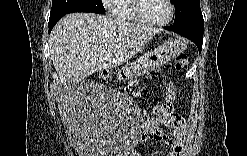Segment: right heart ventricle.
<instances>
[{"instance_id":"1","label":"right heart ventricle","mask_w":247,"mask_h":156,"mask_svg":"<svg viewBox=\"0 0 247 156\" xmlns=\"http://www.w3.org/2000/svg\"><path fill=\"white\" fill-rule=\"evenodd\" d=\"M133 3L132 0L117 1L112 8L113 15L121 21L139 22L133 11Z\"/></svg>"}]
</instances>
